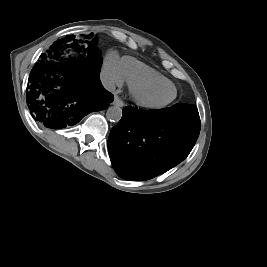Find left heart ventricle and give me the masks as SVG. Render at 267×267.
I'll return each mask as SVG.
<instances>
[{"mask_svg":"<svg viewBox=\"0 0 267 267\" xmlns=\"http://www.w3.org/2000/svg\"><path fill=\"white\" fill-rule=\"evenodd\" d=\"M174 95V89L169 85L150 87L142 91V96L153 103H163Z\"/></svg>","mask_w":267,"mask_h":267,"instance_id":"left-heart-ventricle-1","label":"left heart ventricle"}]
</instances>
